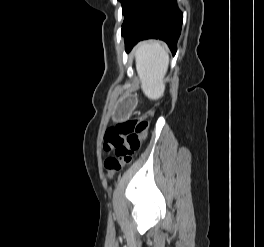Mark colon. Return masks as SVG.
Here are the masks:
<instances>
[{"label":"colon","instance_id":"5ec220e1","mask_svg":"<svg viewBox=\"0 0 264 247\" xmlns=\"http://www.w3.org/2000/svg\"><path fill=\"white\" fill-rule=\"evenodd\" d=\"M153 112L138 118L124 120L106 130L104 135L105 152H113L104 161L109 176H113L132 161L133 153L139 148L149 128V119Z\"/></svg>","mask_w":264,"mask_h":247}]
</instances>
